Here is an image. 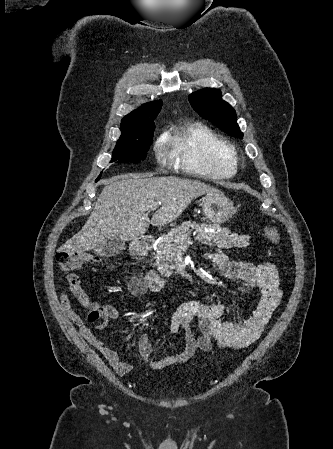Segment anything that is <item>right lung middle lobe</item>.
I'll return each mask as SVG.
<instances>
[{"instance_id":"right-lung-middle-lobe-1","label":"right lung middle lobe","mask_w":333,"mask_h":449,"mask_svg":"<svg viewBox=\"0 0 333 449\" xmlns=\"http://www.w3.org/2000/svg\"><path fill=\"white\" fill-rule=\"evenodd\" d=\"M152 119H149L144 124L143 130L140 132L142 135L141 137L135 139L118 140L116 147L113 150L111 162L139 163L141 160L146 158L149 147L152 144V137L155 129ZM100 176L97 178V181L100 179Z\"/></svg>"}]
</instances>
